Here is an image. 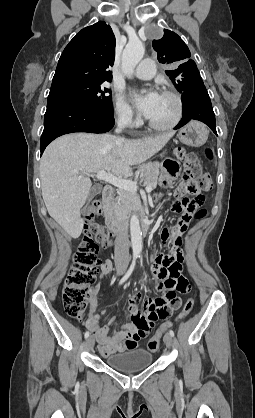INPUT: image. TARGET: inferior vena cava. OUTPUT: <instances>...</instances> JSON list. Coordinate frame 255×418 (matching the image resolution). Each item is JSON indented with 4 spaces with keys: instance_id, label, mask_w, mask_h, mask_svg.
I'll list each match as a JSON object with an SVG mask.
<instances>
[{
    "instance_id": "1",
    "label": "inferior vena cava",
    "mask_w": 255,
    "mask_h": 418,
    "mask_svg": "<svg viewBox=\"0 0 255 418\" xmlns=\"http://www.w3.org/2000/svg\"><path fill=\"white\" fill-rule=\"evenodd\" d=\"M126 124H127V118L125 116H122L118 120V127L115 130L116 133H121L124 127L126 126ZM114 253H115L116 261L128 262L130 259L129 238L122 224H119V227L116 232Z\"/></svg>"
}]
</instances>
